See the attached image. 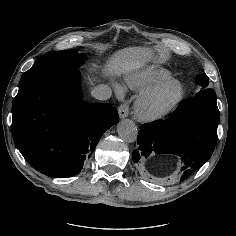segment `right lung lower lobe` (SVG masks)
I'll return each instance as SVG.
<instances>
[{
  "label": "right lung lower lobe",
  "mask_w": 236,
  "mask_h": 236,
  "mask_svg": "<svg viewBox=\"0 0 236 236\" xmlns=\"http://www.w3.org/2000/svg\"><path fill=\"white\" fill-rule=\"evenodd\" d=\"M12 117L16 147L31 166L52 178L79 174L104 132L118 122L111 104L82 100L77 68L19 88Z\"/></svg>",
  "instance_id": "obj_1"
}]
</instances>
